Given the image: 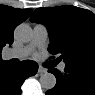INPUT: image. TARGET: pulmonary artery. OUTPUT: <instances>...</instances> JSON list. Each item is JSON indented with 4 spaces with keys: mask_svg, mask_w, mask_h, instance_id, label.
<instances>
[{
    "mask_svg": "<svg viewBox=\"0 0 95 95\" xmlns=\"http://www.w3.org/2000/svg\"><path fill=\"white\" fill-rule=\"evenodd\" d=\"M48 38V30L45 25L36 24L33 28L32 39L29 45L11 49L5 53V57L8 59L17 58V59H24L26 58L33 47L43 44ZM61 70L65 68V63L62 62L59 66Z\"/></svg>",
    "mask_w": 95,
    "mask_h": 95,
    "instance_id": "e3ab8cb5",
    "label": "pulmonary artery"
}]
</instances>
